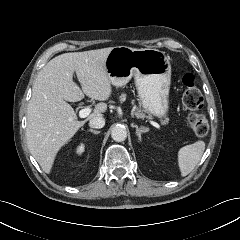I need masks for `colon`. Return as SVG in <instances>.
<instances>
[{"mask_svg":"<svg viewBox=\"0 0 240 240\" xmlns=\"http://www.w3.org/2000/svg\"><path fill=\"white\" fill-rule=\"evenodd\" d=\"M183 89L181 101L184 109L190 111L187 122L192 132L200 137L208 133L209 125L206 118L198 113L203 106V97L201 91L196 86L195 77L190 73H183L181 76Z\"/></svg>","mask_w":240,"mask_h":240,"instance_id":"1","label":"colon"}]
</instances>
